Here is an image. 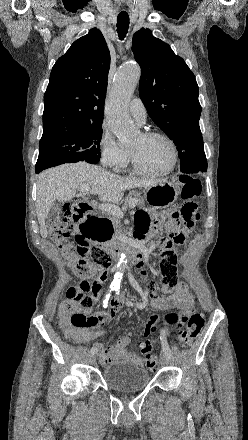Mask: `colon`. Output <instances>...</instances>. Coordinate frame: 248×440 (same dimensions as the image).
Instances as JSON below:
<instances>
[{"label":"colon","mask_w":248,"mask_h":440,"mask_svg":"<svg viewBox=\"0 0 248 440\" xmlns=\"http://www.w3.org/2000/svg\"><path fill=\"white\" fill-rule=\"evenodd\" d=\"M179 180L182 184L183 199L179 214L183 220V227L179 228L175 223H172L169 235L156 239L155 244L161 257H177L175 246L185 241V230L193 227L199 220L194 198L198 197L201 192L200 182L186 175H182ZM81 225H86L83 210L77 205L65 204L50 221L49 231L51 239L68 260L69 267L80 278L78 282L68 288L65 303L68 306L88 309L97 299V279L101 277L99 273L103 271L102 269L109 267L110 258L101 247L92 245L88 241H77L76 244L71 242V236ZM164 320L171 328H179L183 323H186V327L178 337L179 343L184 347L193 343L204 326L203 316L195 311H187L183 314L171 312L164 316ZM71 323L75 327H86L90 325L91 321L84 313L74 312L71 316ZM156 323V316L151 317L145 323L143 328L145 336L154 332ZM141 351L146 366L150 369L154 368L157 359L153 354L152 342L145 340L141 344Z\"/></svg>","instance_id":"obj_1"}]
</instances>
